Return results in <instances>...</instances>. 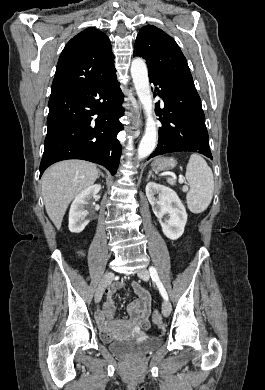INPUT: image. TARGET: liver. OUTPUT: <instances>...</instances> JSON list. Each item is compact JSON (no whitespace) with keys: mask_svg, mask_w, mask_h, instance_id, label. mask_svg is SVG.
I'll return each instance as SVG.
<instances>
[{"mask_svg":"<svg viewBox=\"0 0 265 390\" xmlns=\"http://www.w3.org/2000/svg\"><path fill=\"white\" fill-rule=\"evenodd\" d=\"M99 176L95 164L82 160H66L50 166L42 177V196L46 212L60 229L70 202L94 184Z\"/></svg>","mask_w":265,"mask_h":390,"instance_id":"1","label":"liver"}]
</instances>
